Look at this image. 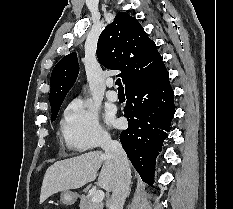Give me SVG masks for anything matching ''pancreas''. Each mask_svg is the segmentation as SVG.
I'll list each match as a JSON object with an SVG mask.
<instances>
[{"instance_id":"cf45deb5","label":"pancreas","mask_w":233,"mask_h":209,"mask_svg":"<svg viewBox=\"0 0 233 209\" xmlns=\"http://www.w3.org/2000/svg\"><path fill=\"white\" fill-rule=\"evenodd\" d=\"M79 207L80 209H103L104 205L102 203L92 202V198L82 195Z\"/></svg>"}]
</instances>
